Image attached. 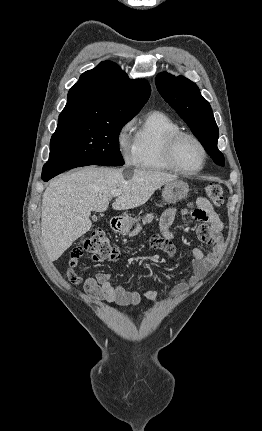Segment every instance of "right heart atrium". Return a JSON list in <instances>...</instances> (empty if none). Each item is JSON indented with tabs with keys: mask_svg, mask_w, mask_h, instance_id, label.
<instances>
[{
	"mask_svg": "<svg viewBox=\"0 0 262 431\" xmlns=\"http://www.w3.org/2000/svg\"><path fill=\"white\" fill-rule=\"evenodd\" d=\"M131 123L124 124L117 136V145L124 160L128 163L133 161L134 141L130 134Z\"/></svg>",
	"mask_w": 262,
	"mask_h": 431,
	"instance_id": "1",
	"label": "right heart atrium"
}]
</instances>
